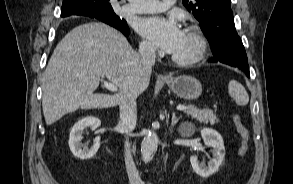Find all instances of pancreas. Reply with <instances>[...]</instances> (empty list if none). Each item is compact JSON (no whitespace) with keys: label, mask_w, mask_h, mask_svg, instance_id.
Returning <instances> with one entry per match:
<instances>
[{"label":"pancreas","mask_w":293,"mask_h":184,"mask_svg":"<svg viewBox=\"0 0 293 184\" xmlns=\"http://www.w3.org/2000/svg\"><path fill=\"white\" fill-rule=\"evenodd\" d=\"M185 113L187 115H190L193 119H196L200 123L215 124L219 122L218 117L213 113L211 109H198L194 105H188Z\"/></svg>","instance_id":"1"}]
</instances>
